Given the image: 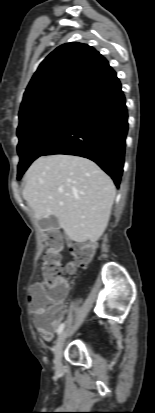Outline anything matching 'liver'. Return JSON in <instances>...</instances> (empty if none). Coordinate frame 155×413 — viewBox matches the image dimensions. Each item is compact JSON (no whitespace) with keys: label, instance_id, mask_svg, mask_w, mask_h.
Returning a JSON list of instances; mask_svg holds the SVG:
<instances>
[{"label":"liver","instance_id":"1","mask_svg":"<svg viewBox=\"0 0 155 413\" xmlns=\"http://www.w3.org/2000/svg\"><path fill=\"white\" fill-rule=\"evenodd\" d=\"M25 178L23 198L37 220L55 216L75 242L100 238L108 225L116 189L99 166L80 156H42L32 163Z\"/></svg>","mask_w":155,"mask_h":413}]
</instances>
